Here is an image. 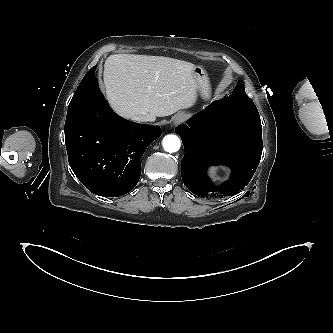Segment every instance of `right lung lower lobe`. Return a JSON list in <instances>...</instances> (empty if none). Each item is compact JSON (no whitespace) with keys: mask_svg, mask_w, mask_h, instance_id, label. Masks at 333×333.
<instances>
[{"mask_svg":"<svg viewBox=\"0 0 333 333\" xmlns=\"http://www.w3.org/2000/svg\"><path fill=\"white\" fill-rule=\"evenodd\" d=\"M65 144L70 167L92 193L117 197L131 191L141 175L140 159L161 135L115 114L94 82L82 103L68 110Z\"/></svg>","mask_w":333,"mask_h":333,"instance_id":"1","label":"right lung lower lobe"}]
</instances>
